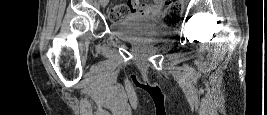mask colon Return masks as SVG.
Wrapping results in <instances>:
<instances>
[{
	"label": "colon",
	"instance_id": "5ec220e1",
	"mask_svg": "<svg viewBox=\"0 0 267 115\" xmlns=\"http://www.w3.org/2000/svg\"><path fill=\"white\" fill-rule=\"evenodd\" d=\"M183 1L182 0H170L165 2V18L167 21H176L181 16ZM131 4H115L109 11L108 16L112 21L120 20L125 15L131 13Z\"/></svg>",
	"mask_w": 267,
	"mask_h": 115
}]
</instances>
